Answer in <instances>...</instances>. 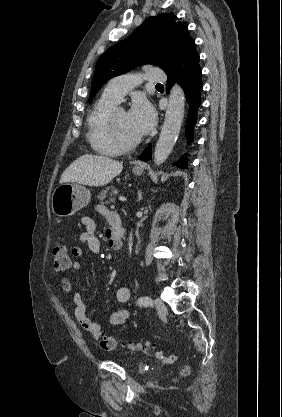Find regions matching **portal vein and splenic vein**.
<instances>
[{"label": "portal vein and splenic vein", "mask_w": 282, "mask_h": 417, "mask_svg": "<svg viewBox=\"0 0 282 417\" xmlns=\"http://www.w3.org/2000/svg\"><path fill=\"white\" fill-rule=\"evenodd\" d=\"M118 199L120 200L121 203H125L126 202V198L124 195H119Z\"/></svg>", "instance_id": "18ae733b"}]
</instances>
